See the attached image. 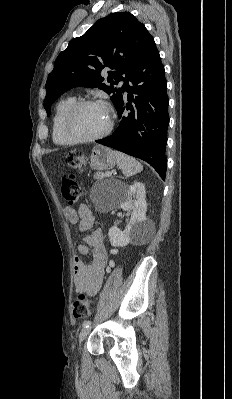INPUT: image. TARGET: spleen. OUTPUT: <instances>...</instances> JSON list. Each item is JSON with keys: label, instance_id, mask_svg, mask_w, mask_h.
<instances>
[{"label": "spleen", "instance_id": "obj_1", "mask_svg": "<svg viewBox=\"0 0 232 399\" xmlns=\"http://www.w3.org/2000/svg\"><path fill=\"white\" fill-rule=\"evenodd\" d=\"M114 154L116 156L117 166L122 170L126 178H129V176H135V174L142 172L143 166H141L140 162H137L135 158L126 156V154H121V152H114Z\"/></svg>", "mask_w": 232, "mask_h": 399}]
</instances>
